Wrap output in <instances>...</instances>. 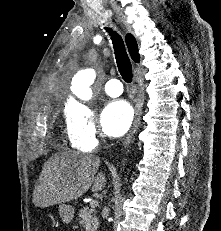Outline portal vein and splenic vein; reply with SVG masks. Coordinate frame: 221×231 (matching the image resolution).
<instances>
[{
	"label": "portal vein and splenic vein",
	"instance_id": "portal-vein-and-splenic-vein-1",
	"mask_svg": "<svg viewBox=\"0 0 221 231\" xmlns=\"http://www.w3.org/2000/svg\"><path fill=\"white\" fill-rule=\"evenodd\" d=\"M90 206L92 208H95L96 206H98V202L94 200V201L90 202Z\"/></svg>",
	"mask_w": 221,
	"mask_h": 231
}]
</instances>
